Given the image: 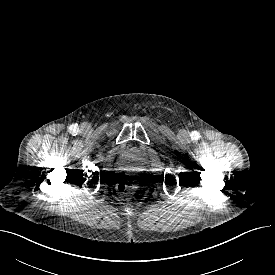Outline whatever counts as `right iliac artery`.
I'll use <instances>...</instances> for the list:
<instances>
[{"label": "right iliac artery", "instance_id": "obj_1", "mask_svg": "<svg viewBox=\"0 0 275 275\" xmlns=\"http://www.w3.org/2000/svg\"><path fill=\"white\" fill-rule=\"evenodd\" d=\"M70 131H71L72 133H76V132H77V126H76V125H72V126L70 127Z\"/></svg>", "mask_w": 275, "mask_h": 275}]
</instances>
